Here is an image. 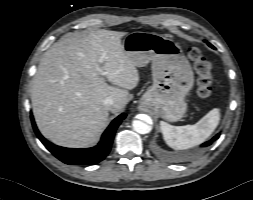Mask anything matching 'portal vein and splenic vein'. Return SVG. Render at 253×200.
<instances>
[{
  "label": "portal vein and splenic vein",
  "mask_w": 253,
  "mask_h": 200,
  "mask_svg": "<svg viewBox=\"0 0 253 200\" xmlns=\"http://www.w3.org/2000/svg\"><path fill=\"white\" fill-rule=\"evenodd\" d=\"M100 61H101V60H100ZM100 72H101V75H102V76L107 75V72H104V71H102L101 69H100Z\"/></svg>",
  "instance_id": "obj_1"
}]
</instances>
